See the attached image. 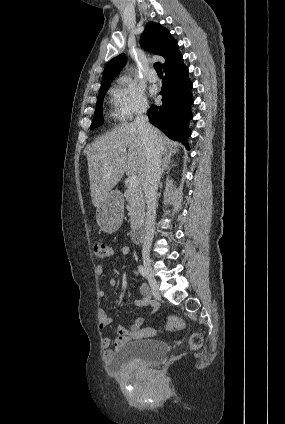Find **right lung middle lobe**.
<instances>
[{
	"label": "right lung middle lobe",
	"instance_id": "dd1d6c3e",
	"mask_svg": "<svg viewBox=\"0 0 285 424\" xmlns=\"http://www.w3.org/2000/svg\"><path fill=\"white\" fill-rule=\"evenodd\" d=\"M108 88H109V86H105V87L100 88V91H99V94H98V97H97V103H96V109H95L93 121H92V124L90 126L91 129L96 128L103 123V116H102L103 99H104V96H105Z\"/></svg>",
	"mask_w": 285,
	"mask_h": 424
}]
</instances>
